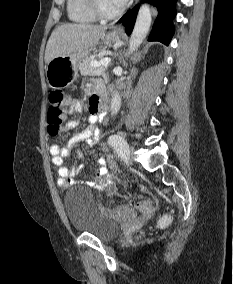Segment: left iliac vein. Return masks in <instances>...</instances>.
Wrapping results in <instances>:
<instances>
[{"label": "left iliac vein", "instance_id": "left-iliac-vein-1", "mask_svg": "<svg viewBox=\"0 0 233 284\" xmlns=\"http://www.w3.org/2000/svg\"><path fill=\"white\" fill-rule=\"evenodd\" d=\"M134 153L133 148H128L126 155L124 156V160L127 164H129L132 161V156Z\"/></svg>", "mask_w": 233, "mask_h": 284}]
</instances>
